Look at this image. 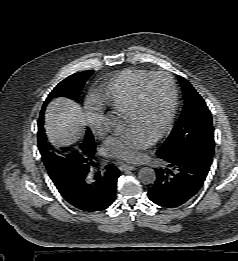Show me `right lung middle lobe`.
<instances>
[{"instance_id": "obj_1", "label": "right lung middle lobe", "mask_w": 238, "mask_h": 261, "mask_svg": "<svg viewBox=\"0 0 238 261\" xmlns=\"http://www.w3.org/2000/svg\"><path fill=\"white\" fill-rule=\"evenodd\" d=\"M94 71L75 73L61 81L46 99L38 120V147L42 160L54 184L65 183L73 173L90 165L94 159L95 143L91 131L88 129L83 141L76 149L59 152L47 142L43 130V111L49 100L56 96H66L78 100L80 91Z\"/></svg>"}]
</instances>
